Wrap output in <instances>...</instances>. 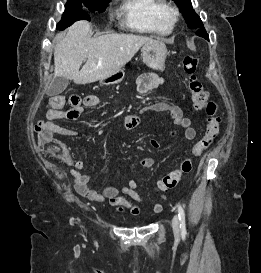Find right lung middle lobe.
<instances>
[{
    "mask_svg": "<svg viewBox=\"0 0 261 273\" xmlns=\"http://www.w3.org/2000/svg\"><path fill=\"white\" fill-rule=\"evenodd\" d=\"M110 0H68L65 5V12L57 28L64 29L72 25L75 21L90 20L89 15L81 9L82 3L92 12H104Z\"/></svg>",
    "mask_w": 261,
    "mask_h": 273,
    "instance_id": "obj_1",
    "label": "right lung middle lobe"
}]
</instances>
